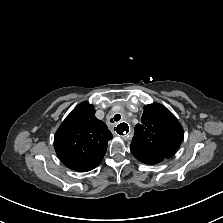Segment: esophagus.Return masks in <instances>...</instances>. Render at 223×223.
Listing matches in <instances>:
<instances>
[{"label": "esophagus", "mask_w": 223, "mask_h": 223, "mask_svg": "<svg viewBox=\"0 0 223 223\" xmlns=\"http://www.w3.org/2000/svg\"><path fill=\"white\" fill-rule=\"evenodd\" d=\"M117 133L124 139L128 140L131 133V128L126 123H121L116 127ZM116 133V132H115Z\"/></svg>", "instance_id": "esophagus-1"}]
</instances>
